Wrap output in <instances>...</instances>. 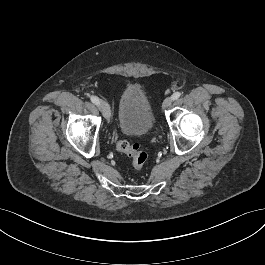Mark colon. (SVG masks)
Instances as JSON below:
<instances>
[{"label": "colon", "mask_w": 265, "mask_h": 265, "mask_svg": "<svg viewBox=\"0 0 265 265\" xmlns=\"http://www.w3.org/2000/svg\"><path fill=\"white\" fill-rule=\"evenodd\" d=\"M117 150L131 159L135 171H141L144 168L148 155L140 148L138 143H130L125 139H121L117 143Z\"/></svg>", "instance_id": "obj_1"}]
</instances>
